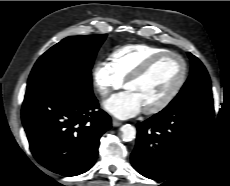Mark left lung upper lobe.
I'll return each instance as SVG.
<instances>
[{
  "label": "left lung upper lobe",
  "mask_w": 230,
  "mask_h": 186,
  "mask_svg": "<svg viewBox=\"0 0 230 186\" xmlns=\"http://www.w3.org/2000/svg\"><path fill=\"white\" fill-rule=\"evenodd\" d=\"M191 59L190 76L179 94L170 102L166 108H175L187 102L203 100L212 97L210 78L201 61L188 53Z\"/></svg>",
  "instance_id": "5c2ea615"
}]
</instances>
